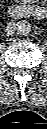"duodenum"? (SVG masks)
<instances>
[{
	"label": "duodenum",
	"mask_w": 47,
	"mask_h": 129,
	"mask_svg": "<svg viewBox=\"0 0 47 129\" xmlns=\"http://www.w3.org/2000/svg\"><path fill=\"white\" fill-rule=\"evenodd\" d=\"M9 15L13 18H27L30 16L38 19L45 16L44 8L36 5H12L9 7Z\"/></svg>",
	"instance_id": "duodenum-1"
}]
</instances>
